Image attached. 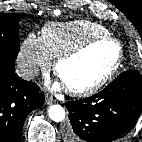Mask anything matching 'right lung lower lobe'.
I'll list each match as a JSON object with an SVG mask.
<instances>
[{
	"instance_id": "obj_1",
	"label": "right lung lower lobe",
	"mask_w": 142,
	"mask_h": 142,
	"mask_svg": "<svg viewBox=\"0 0 142 142\" xmlns=\"http://www.w3.org/2000/svg\"><path fill=\"white\" fill-rule=\"evenodd\" d=\"M44 103V94L0 62V142H19L26 116Z\"/></svg>"
}]
</instances>
